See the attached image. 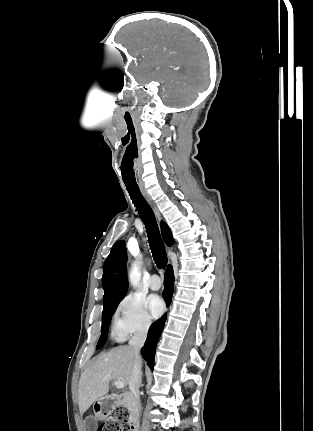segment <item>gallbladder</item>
Returning a JSON list of instances; mask_svg holds the SVG:
<instances>
[{
    "mask_svg": "<svg viewBox=\"0 0 313 431\" xmlns=\"http://www.w3.org/2000/svg\"><path fill=\"white\" fill-rule=\"evenodd\" d=\"M95 425L96 423L92 417L86 419V431H91Z\"/></svg>",
    "mask_w": 313,
    "mask_h": 431,
    "instance_id": "gallbladder-1",
    "label": "gallbladder"
}]
</instances>
